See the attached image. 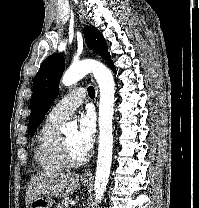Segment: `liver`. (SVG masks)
<instances>
[{
	"label": "liver",
	"mask_w": 199,
	"mask_h": 208,
	"mask_svg": "<svg viewBox=\"0 0 199 208\" xmlns=\"http://www.w3.org/2000/svg\"><path fill=\"white\" fill-rule=\"evenodd\" d=\"M78 182L79 175L75 173L41 172L33 175L26 191V208L42 195L66 198L76 190Z\"/></svg>",
	"instance_id": "obj_1"
}]
</instances>
